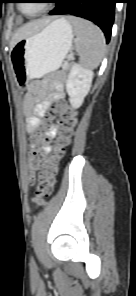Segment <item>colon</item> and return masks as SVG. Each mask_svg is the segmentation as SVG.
I'll list each match as a JSON object with an SVG mask.
<instances>
[{
  "label": "colon",
  "mask_w": 136,
  "mask_h": 296,
  "mask_svg": "<svg viewBox=\"0 0 136 296\" xmlns=\"http://www.w3.org/2000/svg\"><path fill=\"white\" fill-rule=\"evenodd\" d=\"M46 119L57 120L60 129L57 145L54 148L52 156L45 165H43L42 152L39 149H35L30 153V169L38 172L34 197V202L38 206L42 205L52 193L58 162L62 158L65 147L69 144L77 125L76 112L65 103H57L51 106L46 114ZM38 142L44 144L46 138L41 136L39 137Z\"/></svg>",
  "instance_id": "obj_1"
}]
</instances>
